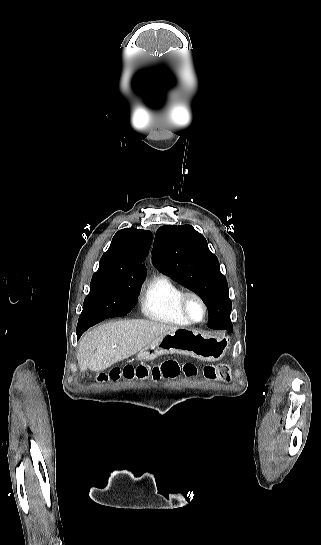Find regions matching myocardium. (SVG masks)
<instances>
[{
  "mask_svg": "<svg viewBox=\"0 0 321 545\" xmlns=\"http://www.w3.org/2000/svg\"><path fill=\"white\" fill-rule=\"evenodd\" d=\"M191 298L197 299L199 301V303L201 304V306H202L203 313H202L201 318L198 319V320L193 318L192 315L190 314L189 310H188V301ZM178 311H179L180 315L190 325H197V324H200V323L204 322V320L206 319L207 314H208V307H207V304H206L204 298L198 292L193 291V290H188V291H184L181 294V296L179 297Z\"/></svg>",
  "mask_w": 321,
  "mask_h": 545,
  "instance_id": "1",
  "label": "myocardium"
}]
</instances>
